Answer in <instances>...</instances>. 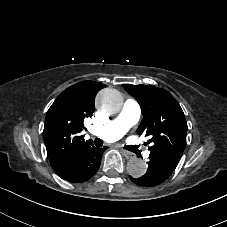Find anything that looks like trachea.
I'll list each match as a JSON object with an SVG mask.
<instances>
[{
  "label": "trachea",
  "mask_w": 227,
  "mask_h": 227,
  "mask_svg": "<svg viewBox=\"0 0 227 227\" xmlns=\"http://www.w3.org/2000/svg\"><path fill=\"white\" fill-rule=\"evenodd\" d=\"M94 144L97 146V147H102L103 146V141L100 139V138H96L94 140ZM125 148H127V146H125Z\"/></svg>",
  "instance_id": "trachea-1"
}]
</instances>
